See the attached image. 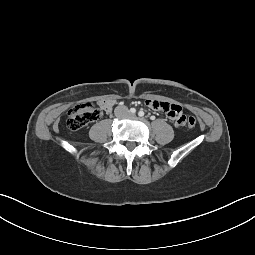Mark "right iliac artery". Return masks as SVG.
<instances>
[{"label": "right iliac artery", "mask_w": 255, "mask_h": 255, "mask_svg": "<svg viewBox=\"0 0 255 255\" xmlns=\"http://www.w3.org/2000/svg\"><path fill=\"white\" fill-rule=\"evenodd\" d=\"M130 113H131V114H135V113H136V109H135V108H131V109H130Z\"/></svg>", "instance_id": "82829eb1"}]
</instances>
